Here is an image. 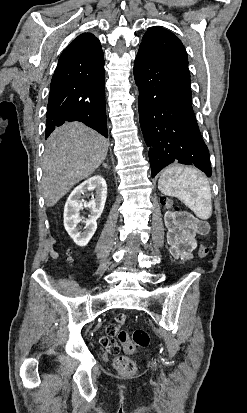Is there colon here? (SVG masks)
<instances>
[{
    "instance_id": "5ec220e1",
    "label": "colon",
    "mask_w": 247,
    "mask_h": 413,
    "mask_svg": "<svg viewBox=\"0 0 247 413\" xmlns=\"http://www.w3.org/2000/svg\"><path fill=\"white\" fill-rule=\"evenodd\" d=\"M163 204H167L169 210H176L177 214L181 213L180 208L171 198H163ZM198 254L200 257H206L209 254V248L203 244L198 245ZM117 340L122 344V354L121 357H115L113 364L115 369L122 373L131 375L137 370L135 361H133L128 356L133 354V351L137 347H146L150 342V334L145 330H134L132 332H122L117 335ZM135 346H134V345Z\"/></svg>"
}]
</instances>
